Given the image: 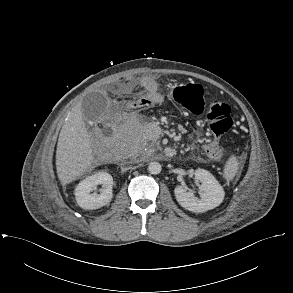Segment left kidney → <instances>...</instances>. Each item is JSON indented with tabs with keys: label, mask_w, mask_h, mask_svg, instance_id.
<instances>
[{
	"label": "left kidney",
	"mask_w": 293,
	"mask_h": 293,
	"mask_svg": "<svg viewBox=\"0 0 293 293\" xmlns=\"http://www.w3.org/2000/svg\"><path fill=\"white\" fill-rule=\"evenodd\" d=\"M195 178L201 182L200 199L194 197L184 186L178 185L174 189L177 202L185 209L193 212H205L219 206L225 192L216 178L207 170L196 169Z\"/></svg>",
	"instance_id": "left-kidney-1"
}]
</instances>
